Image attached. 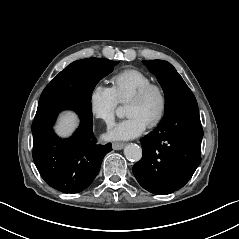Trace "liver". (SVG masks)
Here are the masks:
<instances>
[{"label":"liver","mask_w":239,"mask_h":239,"mask_svg":"<svg viewBox=\"0 0 239 239\" xmlns=\"http://www.w3.org/2000/svg\"><path fill=\"white\" fill-rule=\"evenodd\" d=\"M76 124V120L72 115H63L60 120V125L57 127L62 134L67 133Z\"/></svg>","instance_id":"obj_1"}]
</instances>
